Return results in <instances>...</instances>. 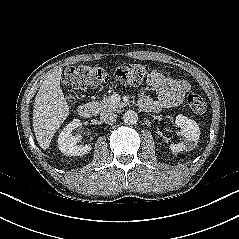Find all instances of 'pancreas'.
I'll list each match as a JSON object with an SVG mask.
<instances>
[{"label":"pancreas","mask_w":239,"mask_h":239,"mask_svg":"<svg viewBox=\"0 0 239 239\" xmlns=\"http://www.w3.org/2000/svg\"><path fill=\"white\" fill-rule=\"evenodd\" d=\"M91 104L98 112H111L122 107V103H114L111 97H106L101 101H93Z\"/></svg>","instance_id":"obj_1"}]
</instances>
